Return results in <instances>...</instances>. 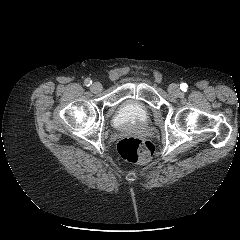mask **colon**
Wrapping results in <instances>:
<instances>
[{
  "mask_svg": "<svg viewBox=\"0 0 240 240\" xmlns=\"http://www.w3.org/2000/svg\"><path fill=\"white\" fill-rule=\"evenodd\" d=\"M117 150L129 162L146 163L153 157L154 145L144 138L128 136L118 141Z\"/></svg>",
  "mask_w": 240,
  "mask_h": 240,
  "instance_id": "colon-1",
  "label": "colon"
}]
</instances>
